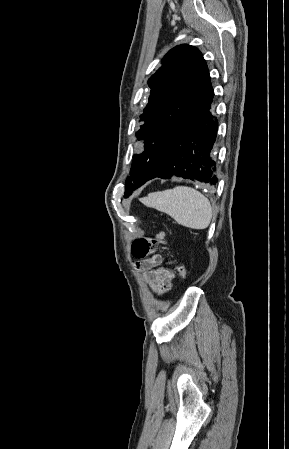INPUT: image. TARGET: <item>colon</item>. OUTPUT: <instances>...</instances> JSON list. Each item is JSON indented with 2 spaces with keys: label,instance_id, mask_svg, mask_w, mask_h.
I'll list each match as a JSON object with an SVG mask.
<instances>
[{
  "label": "colon",
  "instance_id": "obj_1",
  "mask_svg": "<svg viewBox=\"0 0 289 449\" xmlns=\"http://www.w3.org/2000/svg\"><path fill=\"white\" fill-rule=\"evenodd\" d=\"M166 235L163 231L157 233L154 237H140L134 240L132 244V254L135 258L143 259L151 256L155 252L156 244H164ZM175 272L182 279L187 278V270L182 265H175Z\"/></svg>",
  "mask_w": 289,
  "mask_h": 449
}]
</instances>
